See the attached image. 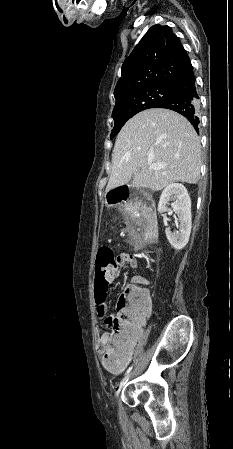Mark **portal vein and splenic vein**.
<instances>
[{"mask_svg": "<svg viewBox=\"0 0 233 449\" xmlns=\"http://www.w3.org/2000/svg\"><path fill=\"white\" fill-rule=\"evenodd\" d=\"M148 164L150 165V167H151L152 169H158V168H160V166H158V165L152 163L151 160L148 161Z\"/></svg>", "mask_w": 233, "mask_h": 449, "instance_id": "obj_1", "label": "portal vein and splenic vein"}]
</instances>
